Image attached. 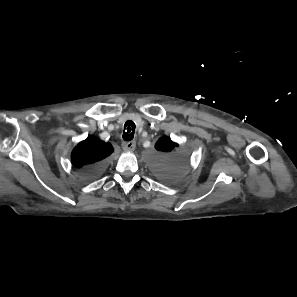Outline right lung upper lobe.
<instances>
[{
	"label": "right lung upper lobe",
	"instance_id": "obj_1",
	"mask_svg": "<svg viewBox=\"0 0 297 297\" xmlns=\"http://www.w3.org/2000/svg\"><path fill=\"white\" fill-rule=\"evenodd\" d=\"M112 152L113 147L109 142L105 143L94 136H90L80 142L72 151V164L76 168L85 170L104 162V159Z\"/></svg>",
	"mask_w": 297,
	"mask_h": 297
}]
</instances>
